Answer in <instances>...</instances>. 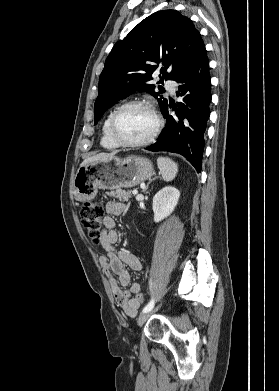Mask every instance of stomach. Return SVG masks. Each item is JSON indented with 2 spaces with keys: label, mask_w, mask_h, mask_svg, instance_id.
Masks as SVG:
<instances>
[{
  "label": "stomach",
  "mask_w": 279,
  "mask_h": 391,
  "mask_svg": "<svg viewBox=\"0 0 279 391\" xmlns=\"http://www.w3.org/2000/svg\"><path fill=\"white\" fill-rule=\"evenodd\" d=\"M153 174L152 163L139 156L92 162L78 169L74 180L75 196L79 201L88 202L95 198L98 189L134 187Z\"/></svg>",
  "instance_id": "1"
}]
</instances>
